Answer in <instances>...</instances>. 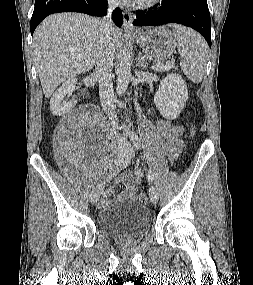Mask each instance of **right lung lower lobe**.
<instances>
[{"instance_id": "98d812e1", "label": "right lung lower lobe", "mask_w": 253, "mask_h": 285, "mask_svg": "<svg viewBox=\"0 0 253 285\" xmlns=\"http://www.w3.org/2000/svg\"><path fill=\"white\" fill-rule=\"evenodd\" d=\"M106 0H35V7L30 22L31 34L37 25L48 15L57 12H82L92 16L106 15ZM112 19L117 26H122V12L113 11Z\"/></svg>"}]
</instances>
